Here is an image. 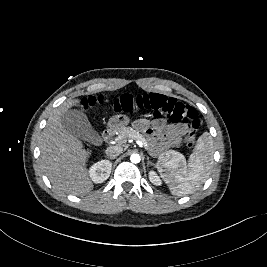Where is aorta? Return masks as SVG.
I'll return each instance as SVG.
<instances>
[{"mask_svg":"<svg viewBox=\"0 0 267 267\" xmlns=\"http://www.w3.org/2000/svg\"><path fill=\"white\" fill-rule=\"evenodd\" d=\"M130 160H131L132 163L137 164V163L140 162L141 157H140L139 154H132V155L130 156Z\"/></svg>","mask_w":267,"mask_h":267,"instance_id":"762f6f07","label":"aorta"}]
</instances>
